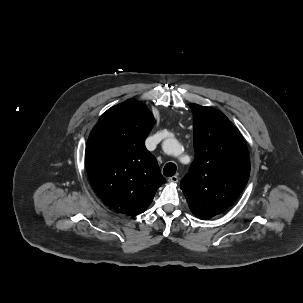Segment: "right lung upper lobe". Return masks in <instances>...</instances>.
Segmentation results:
<instances>
[{
	"label": "right lung upper lobe",
	"mask_w": 303,
	"mask_h": 303,
	"mask_svg": "<svg viewBox=\"0 0 303 303\" xmlns=\"http://www.w3.org/2000/svg\"><path fill=\"white\" fill-rule=\"evenodd\" d=\"M154 123L143 103L127 101L108 109L91 131L86 170L94 191L110 209L141 214L166 182L145 147Z\"/></svg>",
	"instance_id": "1"
}]
</instances>
